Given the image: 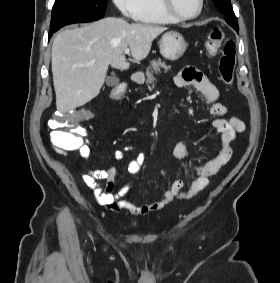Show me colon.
Instances as JSON below:
<instances>
[{
  "label": "colon",
  "instance_id": "colon-1",
  "mask_svg": "<svg viewBox=\"0 0 280 283\" xmlns=\"http://www.w3.org/2000/svg\"><path fill=\"white\" fill-rule=\"evenodd\" d=\"M223 45L219 59V74L223 82L230 85L234 78L236 64V43L233 40L224 41L223 32L220 28H213L205 42V49L210 56H214ZM126 91L125 87L116 86L111 90L110 96L119 99ZM94 118L93 111H86L84 120ZM79 121L78 110H55L52 119L48 121L51 143L56 150L69 152L76 150L81 145V138L76 132H87V127H64L66 123Z\"/></svg>",
  "mask_w": 280,
  "mask_h": 283
}]
</instances>
